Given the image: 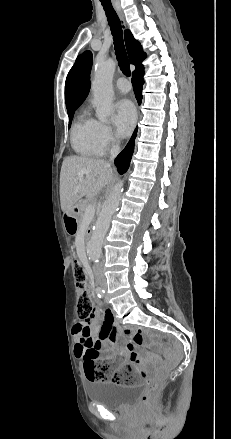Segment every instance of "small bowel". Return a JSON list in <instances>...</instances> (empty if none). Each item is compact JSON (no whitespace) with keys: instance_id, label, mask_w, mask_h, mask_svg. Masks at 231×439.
Wrapping results in <instances>:
<instances>
[{"instance_id":"small-bowel-1","label":"small bowel","mask_w":231,"mask_h":439,"mask_svg":"<svg viewBox=\"0 0 231 439\" xmlns=\"http://www.w3.org/2000/svg\"><path fill=\"white\" fill-rule=\"evenodd\" d=\"M87 291L93 297L92 283L88 285ZM99 317L100 311L96 308L88 321H78L74 325L75 356L85 359L86 354L92 352L96 356L111 359L116 356V343L123 340L117 354L120 365L133 364L140 367L143 374H147L145 366L148 362V356L138 351V347L143 342L142 335L132 329L123 330L116 327L113 322L112 312L109 309L105 313L104 322L100 325L97 324ZM93 331L96 333L93 334Z\"/></svg>"}]
</instances>
